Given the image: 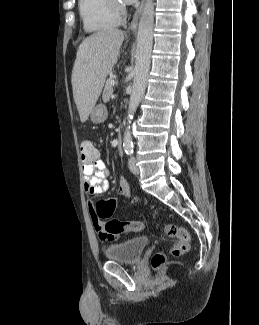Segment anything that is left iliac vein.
<instances>
[{
    "label": "left iliac vein",
    "instance_id": "left-iliac-vein-1",
    "mask_svg": "<svg viewBox=\"0 0 259 325\" xmlns=\"http://www.w3.org/2000/svg\"><path fill=\"white\" fill-rule=\"evenodd\" d=\"M128 166H129L130 171L133 174H139V168L137 167V165H136V159L133 156H131L129 158Z\"/></svg>",
    "mask_w": 259,
    "mask_h": 325
}]
</instances>
